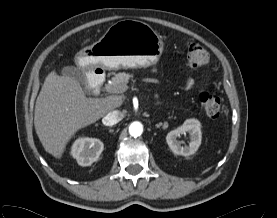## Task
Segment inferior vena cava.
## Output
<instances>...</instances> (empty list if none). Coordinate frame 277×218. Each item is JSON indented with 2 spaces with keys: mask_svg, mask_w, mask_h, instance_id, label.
I'll list each match as a JSON object with an SVG mask.
<instances>
[{
  "mask_svg": "<svg viewBox=\"0 0 277 218\" xmlns=\"http://www.w3.org/2000/svg\"><path fill=\"white\" fill-rule=\"evenodd\" d=\"M123 119V114L119 110H113L109 112L105 117L102 119V123L105 126H113L117 124L119 121Z\"/></svg>",
  "mask_w": 277,
  "mask_h": 218,
  "instance_id": "1",
  "label": "inferior vena cava"
}]
</instances>
